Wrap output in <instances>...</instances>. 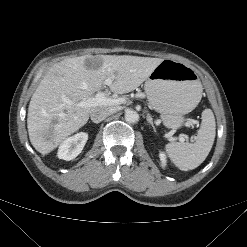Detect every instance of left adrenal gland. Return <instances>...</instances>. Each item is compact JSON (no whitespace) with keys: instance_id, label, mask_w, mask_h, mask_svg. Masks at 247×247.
<instances>
[{"instance_id":"left-adrenal-gland-1","label":"left adrenal gland","mask_w":247,"mask_h":247,"mask_svg":"<svg viewBox=\"0 0 247 247\" xmlns=\"http://www.w3.org/2000/svg\"><path fill=\"white\" fill-rule=\"evenodd\" d=\"M146 120L152 126L153 130L156 132L155 126L153 124V119L149 113L147 114Z\"/></svg>"}]
</instances>
